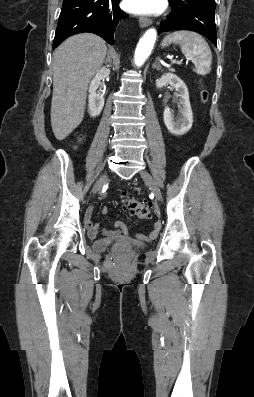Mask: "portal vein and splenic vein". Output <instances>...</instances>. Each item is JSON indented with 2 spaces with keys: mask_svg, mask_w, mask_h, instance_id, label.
I'll list each match as a JSON object with an SVG mask.
<instances>
[{
  "mask_svg": "<svg viewBox=\"0 0 254 397\" xmlns=\"http://www.w3.org/2000/svg\"><path fill=\"white\" fill-rule=\"evenodd\" d=\"M172 63L182 64V60H180V61H173Z\"/></svg>",
  "mask_w": 254,
  "mask_h": 397,
  "instance_id": "18ae733b",
  "label": "portal vein and splenic vein"
}]
</instances>
